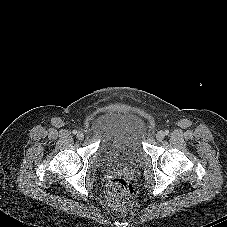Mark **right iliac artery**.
I'll list each match as a JSON object with an SVG mask.
<instances>
[{"label":"right iliac artery","instance_id":"right-iliac-artery-1","mask_svg":"<svg viewBox=\"0 0 227 227\" xmlns=\"http://www.w3.org/2000/svg\"><path fill=\"white\" fill-rule=\"evenodd\" d=\"M73 134H77V130H73V132H72Z\"/></svg>","mask_w":227,"mask_h":227}]
</instances>
